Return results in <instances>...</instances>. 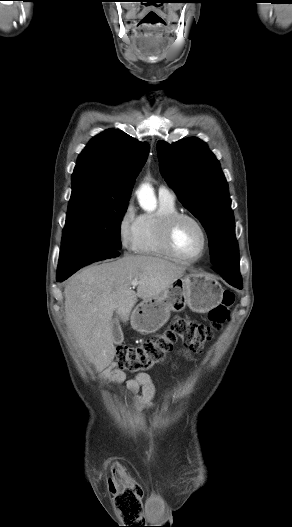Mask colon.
Here are the masks:
<instances>
[{
	"label": "colon",
	"mask_w": 292,
	"mask_h": 527,
	"mask_svg": "<svg viewBox=\"0 0 292 527\" xmlns=\"http://www.w3.org/2000/svg\"><path fill=\"white\" fill-rule=\"evenodd\" d=\"M234 300V294L225 290L221 302L208 314V325L189 317L177 318L164 332L147 339L142 344L134 347H120L117 352V365L129 372L150 370L165 359L177 341L194 352H201L204 345L229 320ZM139 494L140 487L131 485L116 497V503L123 509L126 504L134 503L137 512H140Z\"/></svg>",
	"instance_id": "1"
}]
</instances>
